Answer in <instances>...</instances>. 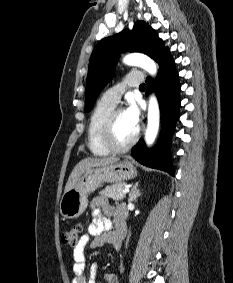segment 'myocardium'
Masks as SVG:
<instances>
[{
	"label": "myocardium",
	"instance_id": "f54148a6",
	"mask_svg": "<svg viewBox=\"0 0 233 283\" xmlns=\"http://www.w3.org/2000/svg\"><path fill=\"white\" fill-rule=\"evenodd\" d=\"M124 110L122 108H114L108 115L102 129V143L106 147L107 150L113 153H123L131 149L135 143L137 142L140 134V129L137 127L136 132L132 139L124 144V145H117L114 142L113 138V131H114V125L117 118V115L120 112H123Z\"/></svg>",
	"mask_w": 233,
	"mask_h": 283
}]
</instances>
